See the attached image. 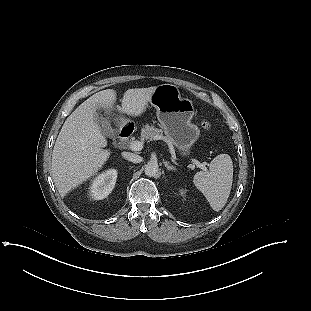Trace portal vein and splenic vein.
Returning <instances> with one entry per match:
<instances>
[{"label": "portal vein and splenic vein", "mask_w": 311, "mask_h": 311, "mask_svg": "<svg viewBox=\"0 0 311 311\" xmlns=\"http://www.w3.org/2000/svg\"><path fill=\"white\" fill-rule=\"evenodd\" d=\"M129 148L132 150V151H140L143 149V142H140V141H134V142H131L130 145H129ZM195 164L203 169V170H206V167H205V164L204 163H199L198 161H195Z\"/></svg>", "instance_id": "obj_1"}]
</instances>
